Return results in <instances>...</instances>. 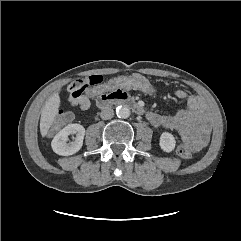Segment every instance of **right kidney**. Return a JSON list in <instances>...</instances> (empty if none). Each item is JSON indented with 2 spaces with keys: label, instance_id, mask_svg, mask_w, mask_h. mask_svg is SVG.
Returning <instances> with one entry per match:
<instances>
[{
  "label": "right kidney",
  "instance_id": "ca27d5eb",
  "mask_svg": "<svg viewBox=\"0 0 241 241\" xmlns=\"http://www.w3.org/2000/svg\"><path fill=\"white\" fill-rule=\"evenodd\" d=\"M76 134L73 142L68 141V136ZM85 136V128L80 124H69L60 130L51 142L53 151L62 156L73 155L78 152L82 145Z\"/></svg>",
  "mask_w": 241,
  "mask_h": 241
}]
</instances>
